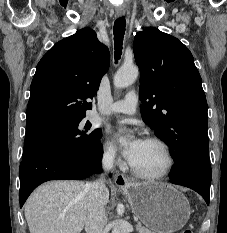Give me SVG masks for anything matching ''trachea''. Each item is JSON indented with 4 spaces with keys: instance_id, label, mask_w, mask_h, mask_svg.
I'll return each instance as SVG.
<instances>
[{
    "instance_id": "1",
    "label": "trachea",
    "mask_w": 227,
    "mask_h": 233,
    "mask_svg": "<svg viewBox=\"0 0 227 233\" xmlns=\"http://www.w3.org/2000/svg\"><path fill=\"white\" fill-rule=\"evenodd\" d=\"M125 18L120 17L114 23L113 34H114V46H115V60L116 62L121 58L123 38L125 34Z\"/></svg>"
}]
</instances>
